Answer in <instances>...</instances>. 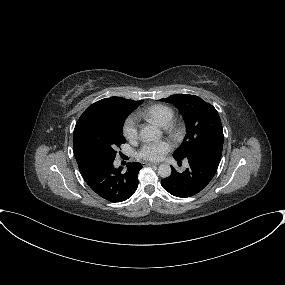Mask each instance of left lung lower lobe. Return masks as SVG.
<instances>
[{
    "label": "left lung lower lobe",
    "instance_id": "left-lung-lower-lobe-1",
    "mask_svg": "<svg viewBox=\"0 0 285 285\" xmlns=\"http://www.w3.org/2000/svg\"><path fill=\"white\" fill-rule=\"evenodd\" d=\"M222 148L220 145L208 146L190 153L185 157L190 167L182 173L173 169L169 177L161 180L162 187L170 194L181 198L199 193L214 177L221 159ZM174 158L178 162L182 160Z\"/></svg>",
    "mask_w": 285,
    "mask_h": 285
}]
</instances>
